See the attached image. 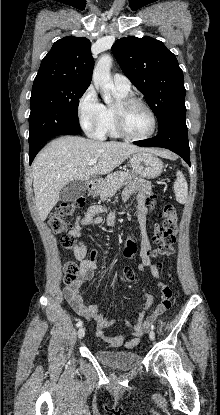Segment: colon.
I'll return each mask as SVG.
<instances>
[{
  "mask_svg": "<svg viewBox=\"0 0 220 415\" xmlns=\"http://www.w3.org/2000/svg\"><path fill=\"white\" fill-rule=\"evenodd\" d=\"M154 198L151 196L150 201L153 203ZM84 206V199L77 198L60 204L51 214L48 224L54 234L61 235V245L68 250H72L76 246L75 239L69 234L72 224L71 215ZM162 223L154 228L155 246L152 251L154 258L159 260L160 267L163 261L173 253V245L176 240L178 231V216L174 205L167 204L162 211ZM124 256L133 258L137 253V244L135 241H126L123 250ZM79 267L74 261H69L64 266V282L67 285L73 284L78 275ZM124 279L132 282L135 278L134 271L131 268H125L123 271ZM159 283L161 297L155 311L162 314L172 307V289L164 282L165 275L159 271Z\"/></svg>",
  "mask_w": 220,
  "mask_h": 415,
  "instance_id": "1",
  "label": "colon"
}]
</instances>
